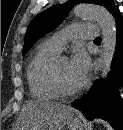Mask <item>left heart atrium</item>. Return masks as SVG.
Wrapping results in <instances>:
<instances>
[{
    "label": "left heart atrium",
    "instance_id": "1",
    "mask_svg": "<svg viewBox=\"0 0 123 130\" xmlns=\"http://www.w3.org/2000/svg\"><path fill=\"white\" fill-rule=\"evenodd\" d=\"M69 67L74 79L82 85L85 82L91 67V61L88 54L81 48L76 49L69 62Z\"/></svg>",
    "mask_w": 123,
    "mask_h": 130
}]
</instances>
